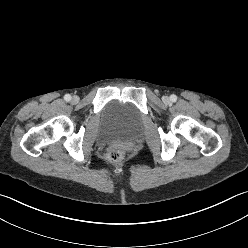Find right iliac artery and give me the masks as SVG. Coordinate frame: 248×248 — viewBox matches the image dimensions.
Masks as SVG:
<instances>
[{
  "instance_id": "obj_1",
  "label": "right iliac artery",
  "mask_w": 248,
  "mask_h": 248,
  "mask_svg": "<svg viewBox=\"0 0 248 248\" xmlns=\"http://www.w3.org/2000/svg\"><path fill=\"white\" fill-rule=\"evenodd\" d=\"M64 100L67 101V102L70 101L71 100V96L69 94H66L64 96Z\"/></svg>"
}]
</instances>
